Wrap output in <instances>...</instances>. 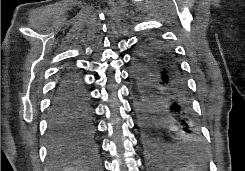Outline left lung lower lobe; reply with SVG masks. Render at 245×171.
Listing matches in <instances>:
<instances>
[{
	"label": "left lung lower lobe",
	"instance_id": "1",
	"mask_svg": "<svg viewBox=\"0 0 245 171\" xmlns=\"http://www.w3.org/2000/svg\"><path fill=\"white\" fill-rule=\"evenodd\" d=\"M151 60L128 62L142 95V121L147 129L142 143L148 167H181L187 153L167 148V142L153 129L167 127L173 136L191 132L194 117L187 82L168 44H159Z\"/></svg>",
	"mask_w": 245,
	"mask_h": 171
}]
</instances>
